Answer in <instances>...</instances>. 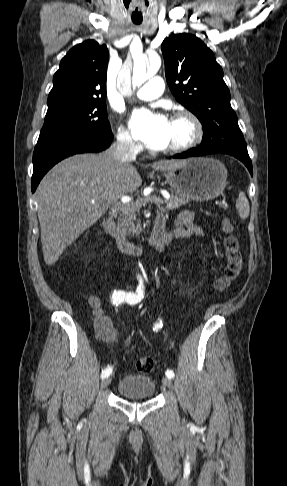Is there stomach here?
Wrapping results in <instances>:
<instances>
[{
    "label": "stomach",
    "mask_w": 287,
    "mask_h": 486,
    "mask_svg": "<svg viewBox=\"0 0 287 486\" xmlns=\"http://www.w3.org/2000/svg\"><path fill=\"white\" fill-rule=\"evenodd\" d=\"M170 187L181 197L208 201L218 197L227 184V169L219 160L195 157L183 160L163 174Z\"/></svg>",
    "instance_id": "0dacf381"
}]
</instances>
